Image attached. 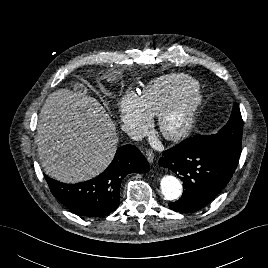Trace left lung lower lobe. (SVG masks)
Here are the masks:
<instances>
[{
	"mask_svg": "<svg viewBox=\"0 0 268 268\" xmlns=\"http://www.w3.org/2000/svg\"><path fill=\"white\" fill-rule=\"evenodd\" d=\"M238 161V156L198 145L196 136L164 151L159 165L176 173L184 188L182 197L169 207L183 213L202 209L227 185Z\"/></svg>",
	"mask_w": 268,
	"mask_h": 268,
	"instance_id": "0a47b994",
	"label": "left lung lower lobe"
}]
</instances>
